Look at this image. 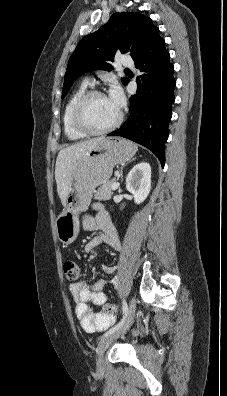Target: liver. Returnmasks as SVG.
Instances as JSON below:
<instances>
[{"label":"liver","instance_id":"obj_1","mask_svg":"<svg viewBox=\"0 0 227 396\" xmlns=\"http://www.w3.org/2000/svg\"><path fill=\"white\" fill-rule=\"evenodd\" d=\"M104 140L105 137L86 140L64 148L58 153L55 166V180L57 183V192L63 206H65L68 196L73 166Z\"/></svg>","mask_w":227,"mask_h":396}]
</instances>
